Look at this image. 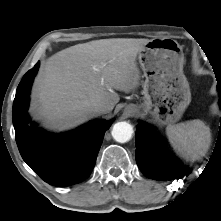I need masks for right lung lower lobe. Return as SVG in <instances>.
Masks as SVG:
<instances>
[{
  "label": "right lung lower lobe",
  "instance_id": "right-lung-lower-lobe-1",
  "mask_svg": "<svg viewBox=\"0 0 221 221\" xmlns=\"http://www.w3.org/2000/svg\"><path fill=\"white\" fill-rule=\"evenodd\" d=\"M39 62L22 78L13 103V125L24 161L47 183L69 186L85 180L92 172L105 131L112 121L95 120L63 133L45 132L30 121L28 103Z\"/></svg>",
  "mask_w": 221,
  "mask_h": 221
}]
</instances>
